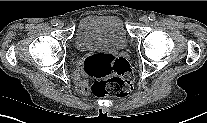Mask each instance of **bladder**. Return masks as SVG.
Listing matches in <instances>:
<instances>
[{
	"mask_svg": "<svg viewBox=\"0 0 207 123\" xmlns=\"http://www.w3.org/2000/svg\"><path fill=\"white\" fill-rule=\"evenodd\" d=\"M75 45L84 52L123 50L127 46L124 24L117 16H87L78 23Z\"/></svg>",
	"mask_w": 207,
	"mask_h": 123,
	"instance_id": "31cf9c89",
	"label": "bladder"
}]
</instances>
